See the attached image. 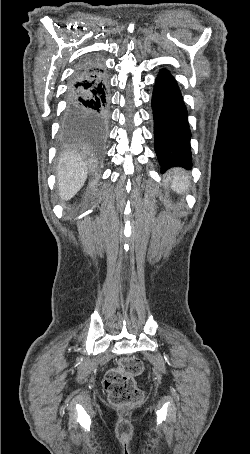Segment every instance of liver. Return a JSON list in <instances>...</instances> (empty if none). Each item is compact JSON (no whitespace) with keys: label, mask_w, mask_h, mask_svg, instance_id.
Listing matches in <instances>:
<instances>
[{"label":"liver","mask_w":250,"mask_h":454,"mask_svg":"<svg viewBox=\"0 0 250 454\" xmlns=\"http://www.w3.org/2000/svg\"><path fill=\"white\" fill-rule=\"evenodd\" d=\"M87 174L86 163L80 157L73 153H64L56 171L60 198L64 201L73 198L83 187Z\"/></svg>","instance_id":"liver-1"}]
</instances>
